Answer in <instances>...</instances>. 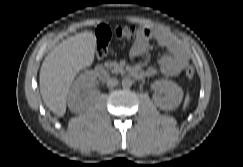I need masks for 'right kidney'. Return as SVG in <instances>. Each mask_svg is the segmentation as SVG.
Here are the masks:
<instances>
[{"instance_id": "obj_1", "label": "right kidney", "mask_w": 243, "mask_h": 167, "mask_svg": "<svg viewBox=\"0 0 243 167\" xmlns=\"http://www.w3.org/2000/svg\"><path fill=\"white\" fill-rule=\"evenodd\" d=\"M94 72L87 71L81 74L72 85L68 97V107L72 112H80L88 105L86 91L95 83Z\"/></svg>"}]
</instances>
